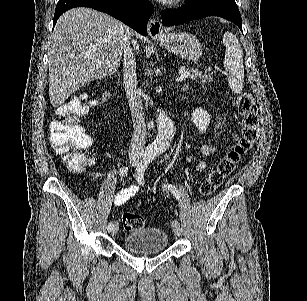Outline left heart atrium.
<instances>
[{
	"instance_id": "obj_1",
	"label": "left heart atrium",
	"mask_w": 307,
	"mask_h": 301,
	"mask_svg": "<svg viewBox=\"0 0 307 301\" xmlns=\"http://www.w3.org/2000/svg\"><path fill=\"white\" fill-rule=\"evenodd\" d=\"M164 4H175L176 0H163Z\"/></svg>"
}]
</instances>
